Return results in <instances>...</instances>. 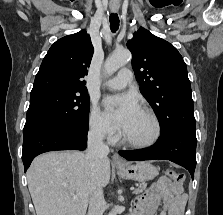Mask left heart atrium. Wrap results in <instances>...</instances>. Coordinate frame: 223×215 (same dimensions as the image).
Returning <instances> with one entry per match:
<instances>
[{
    "instance_id": "obj_1",
    "label": "left heart atrium",
    "mask_w": 223,
    "mask_h": 215,
    "mask_svg": "<svg viewBox=\"0 0 223 215\" xmlns=\"http://www.w3.org/2000/svg\"><path fill=\"white\" fill-rule=\"evenodd\" d=\"M107 115L118 128H124L139 110L135 95L128 93L123 95L107 96L104 100Z\"/></svg>"
}]
</instances>
